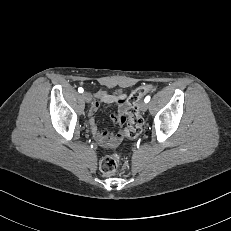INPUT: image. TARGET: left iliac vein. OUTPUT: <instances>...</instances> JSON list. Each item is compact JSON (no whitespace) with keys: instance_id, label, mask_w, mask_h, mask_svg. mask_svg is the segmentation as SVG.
<instances>
[{"instance_id":"4c4485c4","label":"left iliac vein","mask_w":231,"mask_h":231,"mask_svg":"<svg viewBox=\"0 0 231 231\" xmlns=\"http://www.w3.org/2000/svg\"><path fill=\"white\" fill-rule=\"evenodd\" d=\"M140 109H141V111H146L147 109H148V104L146 103V102H142L141 104H140Z\"/></svg>"}]
</instances>
